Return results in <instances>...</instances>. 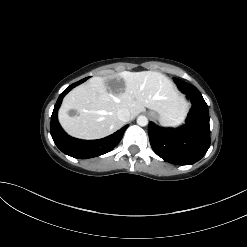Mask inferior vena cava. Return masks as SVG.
I'll return each mask as SVG.
<instances>
[{
    "label": "inferior vena cava",
    "instance_id": "602c4592",
    "mask_svg": "<svg viewBox=\"0 0 247 247\" xmlns=\"http://www.w3.org/2000/svg\"><path fill=\"white\" fill-rule=\"evenodd\" d=\"M117 117L122 122H127L130 120V112L128 109L122 108V109L118 110Z\"/></svg>",
    "mask_w": 247,
    "mask_h": 247
}]
</instances>
